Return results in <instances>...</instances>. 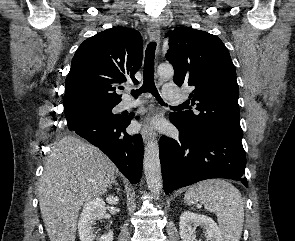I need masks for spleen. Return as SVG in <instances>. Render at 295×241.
<instances>
[{
    "label": "spleen",
    "instance_id": "spleen-1",
    "mask_svg": "<svg viewBox=\"0 0 295 241\" xmlns=\"http://www.w3.org/2000/svg\"><path fill=\"white\" fill-rule=\"evenodd\" d=\"M188 205L201 202L218 216L224 241H239L244 222L243 199L239 190L223 179H210L189 187L184 196Z\"/></svg>",
    "mask_w": 295,
    "mask_h": 241
}]
</instances>
